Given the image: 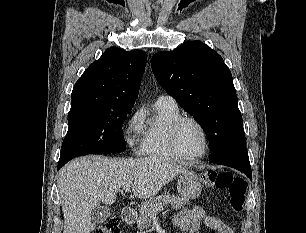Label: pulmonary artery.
<instances>
[{"mask_svg": "<svg viewBox=\"0 0 306 233\" xmlns=\"http://www.w3.org/2000/svg\"><path fill=\"white\" fill-rule=\"evenodd\" d=\"M156 102H164V103H168L170 105H177L175 99L173 97L169 96V95H160L157 98Z\"/></svg>", "mask_w": 306, "mask_h": 233, "instance_id": "obj_1", "label": "pulmonary artery"}]
</instances>
